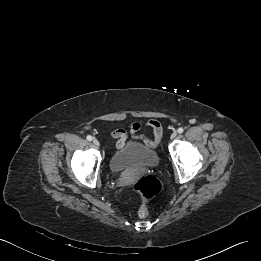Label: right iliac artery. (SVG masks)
<instances>
[{
  "label": "right iliac artery",
  "mask_w": 261,
  "mask_h": 261,
  "mask_svg": "<svg viewBox=\"0 0 261 261\" xmlns=\"http://www.w3.org/2000/svg\"><path fill=\"white\" fill-rule=\"evenodd\" d=\"M92 139H93L92 136H90V135L87 136L88 141H92Z\"/></svg>",
  "instance_id": "1"
}]
</instances>
